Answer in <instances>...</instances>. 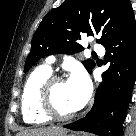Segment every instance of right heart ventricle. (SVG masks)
Wrapping results in <instances>:
<instances>
[{
	"instance_id": "right-heart-ventricle-1",
	"label": "right heart ventricle",
	"mask_w": 136,
	"mask_h": 136,
	"mask_svg": "<svg viewBox=\"0 0 136 136\" xmlns=\"http://www.w3.org/2000/svg\"><path fill=\"white\" fill-rule=\"evenodd\" d=\"M51 73V68L47 65L39 66L29 74L24 83L21 110L23 120L28 124H45L50 120L40 108L39 96L44 82L51 76Z\"/></svg>"
}]
</instances>
